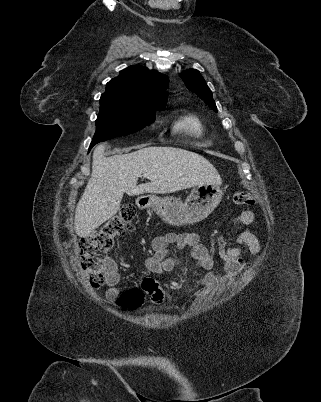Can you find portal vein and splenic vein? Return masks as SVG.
Returning <instances> with one entry per match:
<instances>
[{
	"mask_svg": "<svg viewBox=\"0 0 321 402\" xmlns=\"http://www.w3.org/2000/svg\"><path fill=\"white\" fill-rule=\"evenodd\" d=\"M142 176L144 178H148V179H154L155 178L153 175H150V174H147V173H144Z\"/></svg>",
	"mask_w": 321,
	"mask_h": 402,
	"instance_id": "portal-vein-and-splenic-vein-1",
	"label": "portal vein and splenic vein"
}]
</instances>
